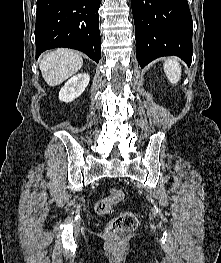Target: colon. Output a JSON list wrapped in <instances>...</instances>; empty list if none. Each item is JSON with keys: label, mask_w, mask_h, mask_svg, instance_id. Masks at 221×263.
I'll return each instance as SVG.
<instances>
[{"label": "colon", "mask_w": 221, "mask_h": 263, "mask_svg": "<svg viewBox=\"0 0 221 263\" xmlns=\"http://www.w3.org/2000/svg\"><path fill=\"white\" fill-rule=\"evenodd\" d=\"M124 198L122 190L111 187L110 194L96 203V211L99 214L110 213L114 205ZM138 220L136 215L131 211H125L112 218L106 227L109 235L114 237L123 236L136 229Z\"/></svg>", "instance_id": "1"}]
</instances>
